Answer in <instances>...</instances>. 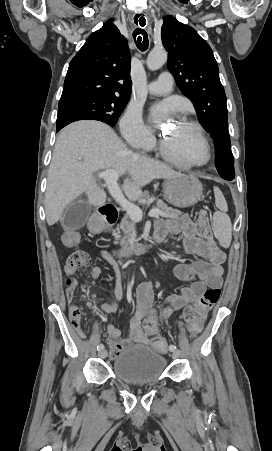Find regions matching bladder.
I'll use <instances>...</instances> for the list:
<instances>
[{
	"instance_id": "1",
	"label": "bladder",
	"mask_w": 272,
	"mask_h": 451,
	"mask_svg": "<svg viewBox=\"0 0 272 451\" xmlns=\"http://www.w3.org/2000/svg\"><path fill=\"white\" fill-rule=\"evenodd\" d=\"M165 365L166 357L162 353L136 345L115 358L112 371L121 382L149 384L157 382L163 375Z\"/></svg>"
}]
</instances>
